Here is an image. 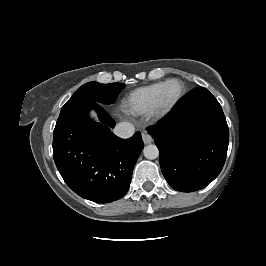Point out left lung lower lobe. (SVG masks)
<instances>
[{
	"instance_id": "1",
	"label": "left lung lower lobe",
	"mask_w": 266,
	"mask_h": 266,
	"mask_svg": "<svg viewBox=\"0 0 266 266\" xmlns=\"http://www.w3.org/2000/svg\"><path fill=\"white\" fill-rule=\"evenodd\" d=\"M149 134L159 149L162 173L177 191L202 189L223 168L229 130L221 105L205 88L188 93Z\"/></svg>"
}]
</instances>
